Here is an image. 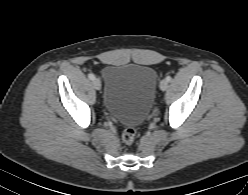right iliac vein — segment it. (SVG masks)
I'll list each match as a JSON object with an SVG mask.
<instances>
[{
	"label": "right iliac vein",
	"instance_id": "1",
	"mask_svg": "<svg viewBox=\"0 0 248 195\" xmlns=\"http://www.w3.org/2000/svg\"><path fill=\"white\" fill-rule=\"evenodd\" d=\"M93 86L96 90H100L101 89V82L99 79H94L93 80Z\"/></svg>",
	"mask_w": 248,
	"mask_h": 195
}]
</instances>
